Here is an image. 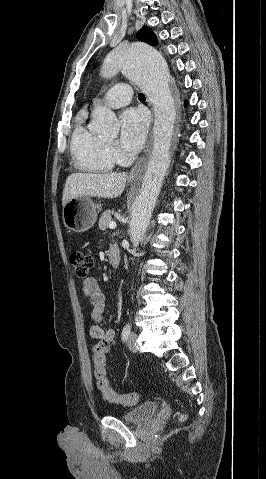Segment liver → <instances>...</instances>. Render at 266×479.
Segmentation results:
<instances>
[{
	"instance_id": "6515ba94",
	"label": "liver",
	"mask_w": 266,
	"mask_h": 479,
	"mask_svg": "<svg viewBox=\"0 0 266 479\" xmlns=\"http://www.w3.org/2000/svg\"><path fill=\"white\" fill-rule=\"evenodd\" d=\"M126 180V173H73L66 180L62 205L79 196L116 198L122 194Z\"/></svg>"
}]
</instances>
